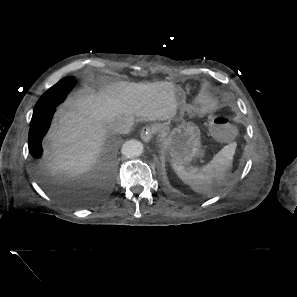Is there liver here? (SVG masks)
<instances>
[{"label": "liver", "instance_id": "obj_1", "mask_svg": "<svg viewBox=\"0 0 297 297\" xmlns=\"http://www.w3.org/2000/svg\"><path fill=\"white\" fill-rule=\"evenodd\" d=\"M178 103L171 82L120 81L81 92L56 114L45 145L47 167L63 182L65 192H79L90 185L86 175L99 161L112 123L134 116L168 120Z\"/></svg>", "mask_w": 297, "mask_h": 297}]
</instances>
